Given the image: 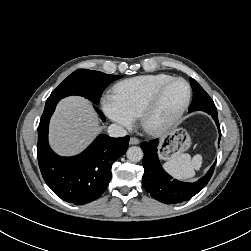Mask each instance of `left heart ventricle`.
<instances>
[{
    "label": "left heart ventricle",
    "mask_w": 251,
    "mask_h": 251,
    "mask_svg": "<svg viewBox=\"0 0 251 251\" xmlns=\"http://www.w3.org/2000/svg\"><path fill=\"white\" fill-rule=\"evenodd\" d=\"M187 97V88L181 81L170 84L163 92L157 109L153 115V121L160 123L169 119L183 105Z\"/></svg>",
    "instance_id": "obj_1"
}]
</instances>
